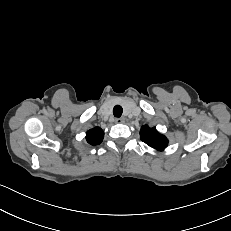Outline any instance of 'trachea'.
Segmentation results:
<instances>
[{"label": "trachea", "mask_w": 231, "mask_h": 231, "mask_svg": "<svg viewBox=\"0 0 231 231\" xmlns=\"http://www.w3.org/2000/svg\"><path fill=\"white\" fill-rule=\"evenodd\" d=\"M122 112H123V109L120 105H116L114 108H113V115L115 117H121L122 115Z\"/></svg>", "instance_id": "obj_1"}]
</instances>
